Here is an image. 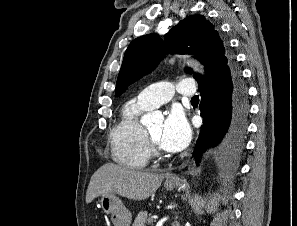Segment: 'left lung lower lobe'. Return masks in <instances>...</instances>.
Here are the masks:
<instances>
[{"mask_svg": "<svg viewBox=\"0 0 297 226\" xmlns=\"http://www.w3.org/2000/svg\"><path fill=\"white\" fill-rule=\"evenodd\" d=\"M198 85L203 125L195 155L198 158L206 147L222 143L226 158L237 160L244 149L249 105L234 59L225 72L198 81Z\"/></svg>", "mask_w": 297, "mask_h": 226, "instance_id": "obj_1", "label": "left lung lower lobe"}]
</instances>
